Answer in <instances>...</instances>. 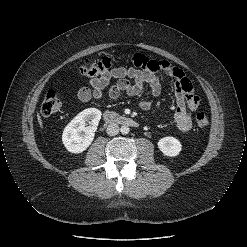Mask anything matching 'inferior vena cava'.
I'll return each mask as SVG.
<instances>
[{
	"instance_id": "602c4592",
	"label": "inferior vena cava",
	"mask_w": 247,
	"mask_h": 247,
	"mask_svg": "<svg viewBox=\"0 0 247 247\" xmlns=\"http://www.w3.org/2000/svg\"><path fill=\"white\" fill-rule=\"evenodd\" d=\"M107 134L110 136H115L119 133V126L115 123H111L107 126Z\"/></svg>"
}]
</instances>
